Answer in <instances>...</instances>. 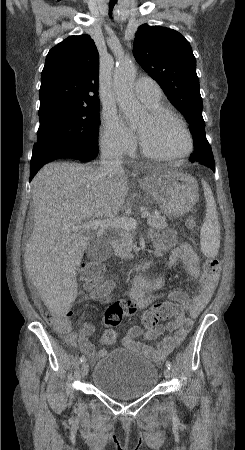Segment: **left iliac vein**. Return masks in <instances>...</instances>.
<instances>
[{"label": "left iliac vein", "instance_id": "left-iliac-vein-1", "mask_svg": "<svg viewBox=\"0 0 245 450\" xmlns=\"http://www.w3.org/2000/svg\"><path fill=\"white\" fill-rule=\"evenodd\" d=\"M164 377H165L166 379H169V378H170V371H169L168 368H166V369L164 370Z\"/></svg>", "mask_w": 245, "mask_h": 450}]
</instances>
